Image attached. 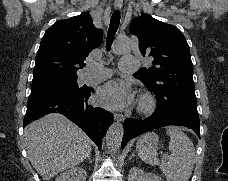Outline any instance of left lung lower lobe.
<instances>
[{
    "mask_svg": "<svg viewBox=\"0 0 228 181\" xmlns=\"http://www.w3.org/2000/svg\"><path fill=\"white\" fill-rule=\"evenodd\" d=\"M168 125L185 126L191 128L197 134L200 133L199 116L193 111L181 109L167 112L161 110L157 105L155 112L144 120L132 118L125 120L122 149L126 146L127 142L134 137L147 131Z\"/></svg>",
    "mask_w": 228,
    "mask_h": 181,
    "instance_id": "obj_1",
    "label": "left lung lower lobe"
}]
</instances>
